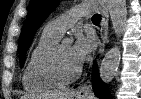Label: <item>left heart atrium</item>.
I'll use <instances>...</instances> for the list:
<instances>
[{
  "label": "left heart atrium",
  "mask_w": 141,
  "mask_h": 99,
  "mask_svg": "<svg viewBox=\"0 0 141 99\" xmlns=\"http://www.w3.org/2000/svg\"><path fill=\"white\" fill-rule=\"evenodd\" d=\"M91 40L84 36H78L75 43L71 46V56L77 67H81L91 52Z\"/></svg>",
  "instance_id": "left-heart-atrium-1"
}]
</instances>
